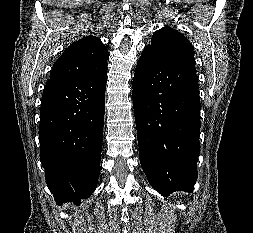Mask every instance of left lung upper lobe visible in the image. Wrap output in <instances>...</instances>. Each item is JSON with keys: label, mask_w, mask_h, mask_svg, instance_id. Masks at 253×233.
I'll use <instances>...</instances> for the list:
<instances>
[{"label": "left lung upper lobe", "mask_w": 253, "mask_h": 233, "mask_svg": "<svg viewBox=\"0 0 253 233\" xmlns=\"http://www.w3.org/2000/svg\"><path fill=\"white\" fill-rule=\"evenodd\" d=\"M148 46L170 58L184 59L195 64L191 43L183 34L171 27L157 30Z\"/></svg>", "instance_id": "5c2ea615"}]
</instances>
